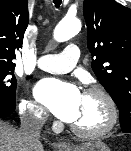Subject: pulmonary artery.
I'll return each mask as SVG.
<instances>
[{"mask_svg": "<svg viewBox=\"0 0 131 151\" xmlns=\"http://www.w3.org/2000/svg\"><path fill=\"white\" fill-rule=\"evenodd\" d=\"M80 56V49L76 44H69L62 53L41 56L37 66L47 72L63 74L71 71Z\"/></svg>", "mask_w": 131, "mask_h": 151, "instance_id": "obj_1", "label": "pulmonary artery"}]
</instances>
